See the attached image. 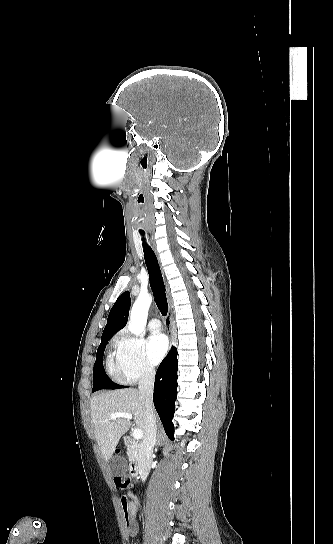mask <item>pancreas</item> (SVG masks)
Segmentation results:
<instances>
[{
  "label": "pancreas",
  "instance_id": "pancreas-1",
  "mask_svg": "<svg viewBox=\"0 0 333 544\" xmlns=\"http://www.w3.org/2000/svg\"><path fill=\"white\" fill-rule=\"evenodd\" d=\"M137 449H138L137 445H135L133 448H128L127 455L130 461H134L137 458V455H138Z\"/></svg>",
  "mask_w": 333,
  "mask_h": 544
}]
</instances>
